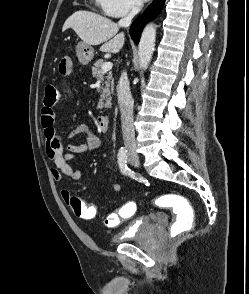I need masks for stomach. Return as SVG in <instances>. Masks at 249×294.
Returning a JSON list of instances; mask_svg holds the SVG:
<instances>
[{"label":"stomach","mask_w":249,"mask_h":294,"mask_svg":"<svg viewBox=\"0 0 249 294\" xmlns=\"http://www.w3.org/2000/svg\"><path fill=\"white\" fill-rule=\"evenodd\" d=\"M76 55L82 65H87L93 59L94 49L91 45L80 42L76 47Z\"/></svg>","instance_id":"0dacf381"}]
</instances>
